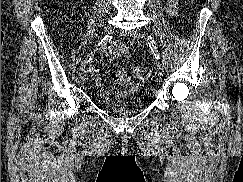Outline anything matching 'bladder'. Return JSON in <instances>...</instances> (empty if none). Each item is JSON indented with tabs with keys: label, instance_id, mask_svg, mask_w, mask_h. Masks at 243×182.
Returning <instances> with one entry per match:
<instances>
[{
	"label": "bladder",
	"instance_id": "1",
	"mask_svg": "<svg viewBox=\"0 0 243 182\" xmlns=\"http://www.w3.org/2000/svg\"><path fill=\"white\" fill-rule=\"evenodd\" d=\"M96 100L101 109L115 115L134 114L143 109V101L137 95L116 97L111 92H101Z\"/></svg>",
	"mask_w": 243,
	"mask_h": 182
}]
</instances>
